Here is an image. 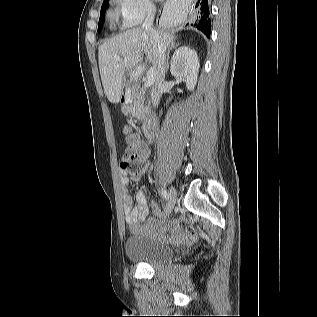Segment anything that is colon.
<instances>
[{
    "mask_svg": "<svg viewBox=\"0 0 317 317\" xmlns=\"http://www.w3.org/2000/svg\"><path fill=\"white\" fill-rule=\"evenodd\" d=\"M127 149L121 159V167L132 179L141 176L144 170V162L142 159L139 140L133 134H127Z\"/></svg>",
    "mask_w": 317,
    "mask_h": 317,
    "instance_id": "1",
    "label": "colon"
}]
</instances>
